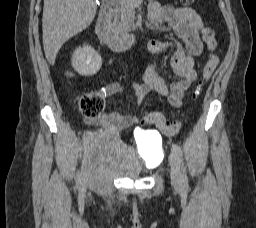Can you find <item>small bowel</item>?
<instances>
[{"instance_id": "1", "label": "small bowel", "mask_w": 256, "mask_h": 228, "mask_svg": "<svg viewBox=\"0 0 256 228\" xmlns=\"http://www.w3.org/2000/svg\"><path fill=\"white\" fill-rule=\"evenodd\" d=\"M149 20L153 25H159L163 22L167 23L175 34L185 43L187 53L182 50H177L171 56L169 62L172 71L175 75L180 77V80L171 85H167L163 77L157 72L156 64L153 61L145 69L144 82L142 84L128 82L126 86L133 90L139 103H142L149 93L154 92L166 97L173 107H180L184 93L197 77L194 66L195 58L200 56L203 51L201 37L204 31V25L202 19L192 8L161 5L157 2H153L150 5ZM147 47L148 51L155 59L169 47V43L154 39L149 41ZM124 89L125 86L114 82L103 89V94L105 97H110L116 93L123 92ZM87 121L90 124L97 125L109 132L115 133L137 124L138 118L133 115L109 112L95 119H88ZM159 128L165 133L170 134L174 131L175 125L172 130L166 127Z\"/></svg>"}]
</instances>
